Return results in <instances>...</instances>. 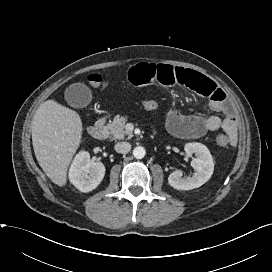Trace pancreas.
I'll list each match as a JSON object with an SVG mask.
<instances>
[{
	"label": "pancreas",
	"instance_id": "cf45deb5",
	"mask_svg": "<svg viewBox=\"0 0 272 272\" xmlns=\"http://www.w3.org/2000/svg\"><path fill=\"white\" fill-rule=\"evenodd\" d=\"M127 117L115 116L113 122L106 126L111 140L131 139L133 134L125 129Z\"/></svg>",
	"mask_w": 272,
	"mask_h": 272
}]
</instances>
